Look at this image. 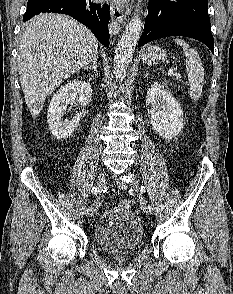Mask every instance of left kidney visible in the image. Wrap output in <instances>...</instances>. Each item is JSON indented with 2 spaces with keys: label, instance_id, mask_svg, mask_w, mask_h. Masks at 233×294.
Masks as SVG:
<instances>
[{
  "label": "left kidney",
  "instance_id": "left-kidney-1",
  "mask_svg": "<svg viewBox=\"0 0 233 294\" xmlns=\"http://www.w3.org/2000/svg\"><path fill=\"white\" fill-rule=\"evenodd\" d=\"M146 107L155 132L171 139L183 129V111L173 95L155 82L147 91Z\"/></svg>",
  "mask_w": 233,
  "mask_h": 294
}]
</instances>
